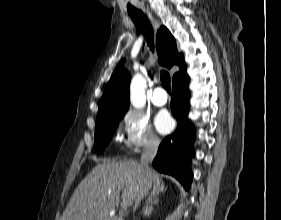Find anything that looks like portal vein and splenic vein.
I'll return each instance as SVG.
<instances>
[{"label": "portal vein and splenic vein", "mask_w": 281, "mask_h": 220, "mask_svg": "<svg viewBox=\"0 0 281 220\" xmlns=\"http://www.w3.org/2000/svg\"><path fill=\"white\" fill-rule=\"evenodd\" d=\"M131 200H123L122 203H121V207L123 209H126L129 205H131Z\"/></svg>", "instance_id": "portal-vein-and-splenic-vein-1"}]
</instances>
